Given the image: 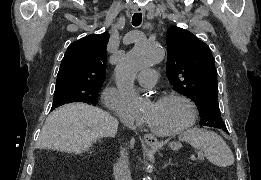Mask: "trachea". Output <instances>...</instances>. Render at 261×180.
I'll return each instance as SVG.
<instances>
[{
    "label": "trachea",
    "mask_w": 261,
    "mask_h": 180,
    "mask_svg": "<svg viewBox=\"0 0 261 180\" xmlns=\"http://www.w3.org/2000/svg\"><path fill=\"white\" fill-rule=\"evenodd\" d=\"M142 22V14L141 13H134L132 17V25L134 27H138Z\"/></svg>",
    "instance_id": "3493384b"
}]
</instances>
